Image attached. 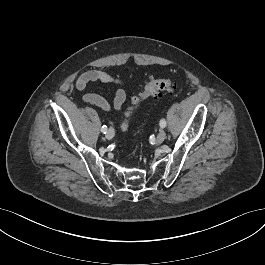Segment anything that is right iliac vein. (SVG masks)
<instances>
[{"label":"right iliac vein","mask_w":265,"mask_h":265,"mask_svg":"<svg viewBox=\"0 0 265 265\" xmlns=\"http://www.w3.org/2000/svg\"><path fill=\"white\" fill-rule=\"evenodd\" d=\"M114 137V130L112 128H110L107 133H106V138L108 140H111Z\"/></svg>","instance_id":"63e3f726"}]
</instances>
